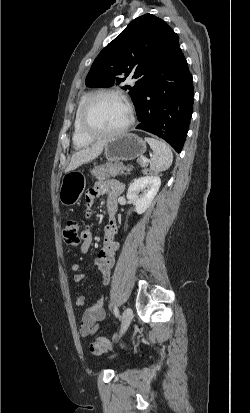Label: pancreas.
Listing matches in <instances>:
<instances>
[{"label":"pancreas","instance_id":"1","mask_svg":"<svg viewBox=\"0 0 250 413\" xmlns=\"http://www.w3.org/2000/svg\"><path fill=\"white\" fill-rule=\"evenodd\" d=\"M137 162L145 167L146 163L142 159H138ZM133 169V166H124L121 163H106L100 166H95L90 172L95 179L98 181H104L110 177H115L120 174H130V171Z\"/></svg>","mask_w":250,"mask_h":413}]
</instances>
